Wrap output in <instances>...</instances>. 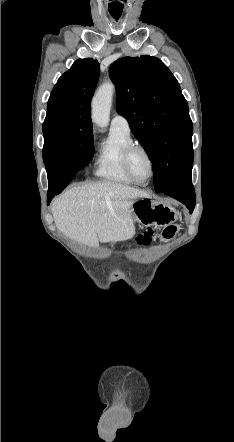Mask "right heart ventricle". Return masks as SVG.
Listing matches in <instances>:
<instances>
[{
	"mask_svg": "<svg viewBox=\"0 0 234 442\" xmlns=\"http://www.w3.org/2000/svg\"><path fill=\"white\" fill-rule=\"evenodd\" d=\"M133 143L130 131L111 128L108 139L100 147L95 163V175L112 183L134 184L123 167L124 150Z\"/></svg>",
	"mask_w": 234,
	"mask_h": 442,
	"instance_id": "e07e8e85",
	"label": "right heart ventricle"
}]
</instances>
